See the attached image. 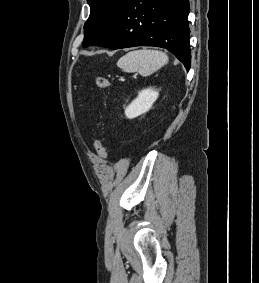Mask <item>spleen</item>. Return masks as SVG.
<instances>
[{
	"label": "spleen",
	"instance_id": "spleen-1",
	"mask_svg": "<svg viewBox=\"0 0 259 283\" xmlns=\"http://www.w3.org/2000/svg\"><path fill=\"white\" fill-rule=\"evenodd\" d=\"M168 63L167 55L158 50L141 49L127 53L121 57L117 66L125 72H138L148 76Z\"/></svg>",
	"mask_w": 259,
	"mask_h": 283
}]
</instances>
